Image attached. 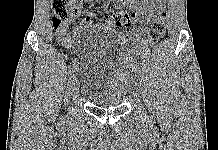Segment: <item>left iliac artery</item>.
I'll use <instances>...</instances> for the list:
<instances>
[{"label":"left iliac artery","instance_id":"44dca946","mask_svg":"<svg viewBox=\"0 0 218 150\" xmlns=\"http://www.w3.org/2000/svg\"><path fill=\"white\" fill-rule=\"evenodd\" d=\"M135 76H141L143 73L141 71H135Z\"/></svg>","mask_w":218,"mask_h":150}]
</instances>
